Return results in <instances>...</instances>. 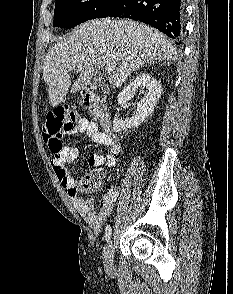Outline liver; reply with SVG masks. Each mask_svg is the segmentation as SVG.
Returning a JSON list of instances; mask_svg holds the SVG:
<instances>
[{
	"label": "liver",
	"instance_id": "1",
	"mask_svg": "<svg viewBox=\"0 0 233 294\" xmlns=\"http://www.w3.org/2000/svg\"><path fill=\"white\" fill-rule=\"evenodd\" d=\"M157 60H177L176 48L158 30L126 19L85 22L60 38L45 57L43 79L50 105L62 102L71 86L69 73L78 65L82 69L71 87L72 94L90 84L97 67H114L109 83L118 88L135 70Z\"/></svg>",
	"mask_w": 233,
	"mask_h": 294
}]
</instances>
